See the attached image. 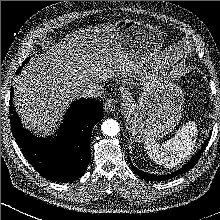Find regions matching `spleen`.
<instances>
[{"label":"spleen","mask_w":220,"mask_h":220,"mask_svg":"<svg viewBox=\"0 0 220 220\" xmlns=\"http://www.w3.org/2000/svg\"><path fill=\"white\" fill-rule=\"evenodd\" d=\"M198 130L195 122L183 125L174 137L162 145L146 141L145 149L153 162L166 168H174L183 163L192 153Z\"/></svg>","instance_id":"1"}]
</instances>
